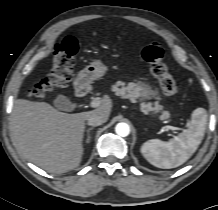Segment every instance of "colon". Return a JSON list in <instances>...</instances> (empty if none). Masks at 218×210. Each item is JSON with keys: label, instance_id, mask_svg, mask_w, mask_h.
Instances as JSON below:
<instances>
[{"label": "colon", "instance_id": "1", "mask_svg": "<svg viewBox=\"0 0 218 210\" xmlns=\"http://www.w3.org/2000/svg\"><path fill=\"white\" fill-rule=\"evenodd\" d=\"M77 51V41L72 37H66L59 43L56 46L51 72L30 91V96L37 100H44L48 94L67 86L72 78ZM142 58L149 65L152 75L157 78L164 94L176 96L180 93L174 77L164 62V48L159 42H153L145 47Z\"/></svg>", "mask_w": 218, "mask_h": 210}]
</instances>
